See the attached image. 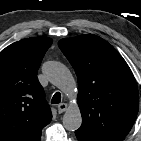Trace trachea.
<instances>
[{
  "label": "trachea",
  "instance_id": "1",
  "mask_svg": "<svg viewBox=\"0 0 141 141\" xmlns=\"http://www.w3.org/2000/svg\"><path fill=\"white\" fill-rule=\"evenodd\" d=\"M60 101H61V94L59 92H56L52 97L51 103L58 104L60 103Z\"/></svg>",
  "mask_w": 141,
  "mask_h": 141
}]
</instances>
